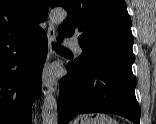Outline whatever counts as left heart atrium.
<instances>
[{"label": "left heart atrium", "instance_id": "left-heart-atrium-1", "mask_svg": "<svg viewBox=\"0 0 156 124\" xmlns=\"http://www.w3.org/2000/svg\"><path fill=\"white\" fill-rule=\"evenodd\" d=\"M55 78H56V71H55V69H50L47 72V79L50 80V81H54Z\"/></svg>", "mask_w": 156, "mask_h": 124}]
</instances>
